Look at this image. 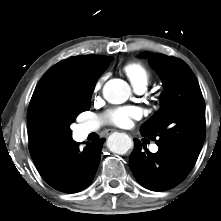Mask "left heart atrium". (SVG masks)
<instances>
[{
	"label": "left heart atrium",
	"instance_id": "1",
	"mask_svg": "<svg viewBox=\"0 0 221 221\" xmlns=\"http://www.w3.org/2000/svg\"><path fill=\"white\" fill-rule=\"evenodd\" d=\"M141 113L137 107L125 106L110 110L107 113L109 122L118 127H128L134 119H138Z\"/></svg>",
	"mask_w": 221,
	"mask_h": 221
}]
</instances>
